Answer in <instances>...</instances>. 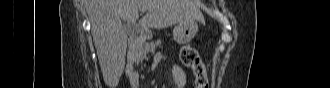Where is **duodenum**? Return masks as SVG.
I'll use <instances>...</instances> for the list:
<instances>
[{"label":"duodenum","mask_w":330,"mask_h":88,"mask_svg":"<svg viewBox=\"0 0 330 88\" xmlns=\"http://www.w3.org/2000/svg\"><path fill=\"white\" fill-rule=\"evenodd\" d=\"M149 38V35L143 30H139L136 35L131 37L128 41L127 55H128V64L126 67V77L132 83L133 87L137 86L138 78L134 73V52L135 50Z\"/></svg>","instance_id":"410a0bca"}]
</instances>
